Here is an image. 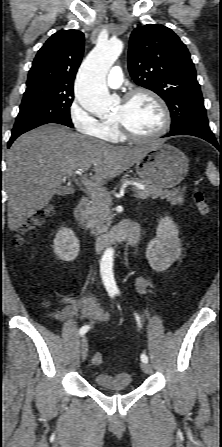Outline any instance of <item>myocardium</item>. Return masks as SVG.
<instances>
[{
    "mask_svg": "<svg viewBox=\"0 0 222 447\" xmlns=\"http://www.w3.org/2000/svg\"><path fill=\"white\" fill-rule=\"evenodd\" d=\"M138 95H146V96L150 97L160 107L162 115H163V123H162V126L160 127V129L157 132L150 134V135H139V134L134 133L121 118H115L113 120V122L117 126L121 135L124 138H127L131 141L147 142V141L156 140V139L162 137L164 134H166L167 131L170 129V126L172 123V116H171L170 109L160 95H158L156 92H154L153 90H150L148 88H137V89H134V90L126 93L123 96L122 102L124 104H127L134 97H136Z\"/></svg>",
    "mask_w": 222,
    "mask_h": 447,
    "instance_id": "obj_1",
    "label": "myocardium"
}]
</instances>
